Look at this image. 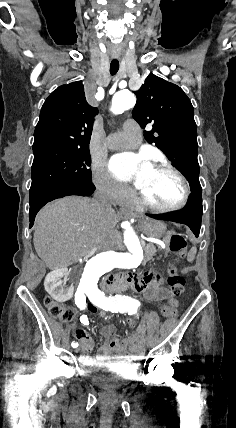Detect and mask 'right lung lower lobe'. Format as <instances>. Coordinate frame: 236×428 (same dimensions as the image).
<instances>
[{"label":"right lung lower lobe","instance_id":"right-lung-lower-lobe-1","mask_svg":"<svg viewBox=\"0 0 236 428\" xmlns=\"http://www.w3.org/2000/svg\"><path fill=\"white\" fill-rule=\"evenodd\" d=\"M95 190V186L90 184L64 183L44 187L30 192V228L34 224L37 212L47 203L54 199L69 195L89 196Z\"/></svg>","mask_w":236,"mask_h":428}]
</instances>
